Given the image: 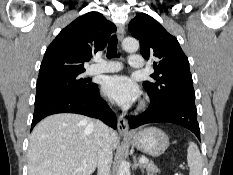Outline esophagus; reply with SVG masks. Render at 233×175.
I'll use <instances>...</instances> for the list:
<instances>
[{"label": "esophagus", "instance_id": "34e87169", "mask_svg": "<svg viewBox=\"0 0 233 175\" xmlns=\"http://www.w3.org/2000/svg\"><path fill=\"white\" fill-rule=\"evenodd\" d=\"M117 35H118L119 41H122L124 38V26L123 25L118 26ZM117 127H118V131L120 134H122V135H129L130 134L128 121L124 117V115H120L118 117Z\"/></svg>", "mask_w": 233, "mask_h": 175}]
</instances>
